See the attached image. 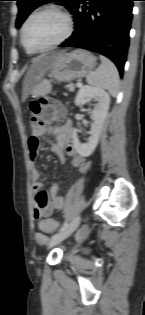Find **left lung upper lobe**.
<instances>
[{
	"instance_id": "obj_1",
	"label": "left lung upper lobe",
	"mask_w": 145,
	"mask_h": 315,
	"mask_svg": "<svg viewBox=\"0 0 145 315\" xmlns=\"http://www.w3.org/2000/svg\"><path fill=\"white\" fill-rule=\"evenodd\" d=\"M19 8L16 27L19 28L27 16L38 6L48 2H58L64 5L71 13L74 11L78 0H16Z\"/></svg>"
}]
</instances>
